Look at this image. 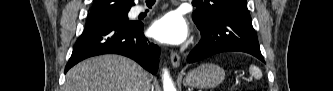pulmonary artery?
I'll return each mask as SVG.
<instances>
[{"label": "pulmonary artery", "mask_w": 333, "mask_h": 91, "mask_svg": "<svg viewBox=\"0 0 333 91\" xmlns=\"http://www.w3.org/2000/svg\"><path fill=\"white\" fill-rule=\"evenodd\" d=\"M135 12H136L137 14L142 13V12H145V7H143V6H139V7L136 8Z\"/></svg>", "instance_id": "e3ab8cb5"}]
</instances>
